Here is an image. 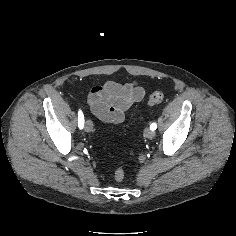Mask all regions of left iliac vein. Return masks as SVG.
<instances>
[{
	"label": "left iliac vein",
	"mask_w": 236,
	"mask_h": 236,
	"mask_svg": "<svg viewBox=\"0 0 236 236\" xmlns=\"http://www.w3.org/2000/svg\"><path fill=\"white\" fill-rule=\"evenodd\" d=\"M144 136L148 139H152L155 136V132L149 128L144 130Z\"/></svg>",
	"instance_id": "left-iliac-vein-1"
}]
</instances>
